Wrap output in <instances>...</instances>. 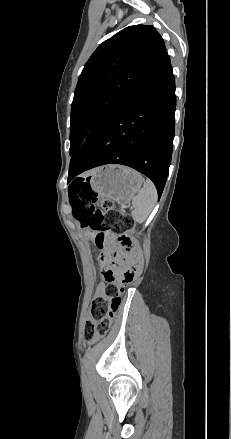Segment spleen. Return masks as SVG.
<instances>
[{
    "instance_id": "obj_1",
    "label": "spleen",
    "mask_w": 231,
    "mask_h": 439,
    "mask_svg": "<svg viewBox=\"0 0 231 439\" xmlns=\"http://www.w3.org/2000/svg\"><path fill=\"white\" fill-rule=\"evenodd\" d=\"M157 201V190L153 182L149 179L144 181V185L140 192L134 196L132 205V218L138 223H143L151 213Z\"/></svg>"
}]
</instances>
